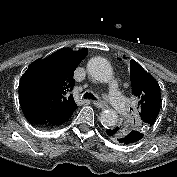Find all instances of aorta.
<instances>
[{
  "label": "aorta",
  "mask_w": 177,
  "mask_h": 177,
  "mask_svg": "<svg viewBox=\"0 0 177 177\" xmlns=\"http://www.w3.org/2000/svg\"><path fill=\"white\" fill-rule=\"evenodd\" d=\"M88 73L97 81L107 83L112 79L113 70L110 63L102 57H93L87 63ZM101 124L105 128L114 127L118 122V115L115 110L107 109L101 113Z\"/></svg>",
  "instance_id": "aorta-1"
}]
</instances>
